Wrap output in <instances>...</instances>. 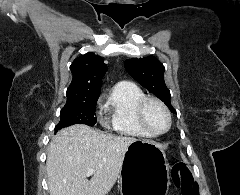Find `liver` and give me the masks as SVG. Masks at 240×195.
Instances as JSON below:
<instances>
[{
    "label": "liver",
    "instance_id": "6515ba94",
    "mask_svg": "<svg viewBox=\"0 0 240 195\" xmlns=\"http://www.w3.org/2000/svg\"><path fill=\"white\" fill-rule=\"evenodd\" d=\"M133 141L136 137L107 135L84 123L59 129L47 153L50 195H106L119 177ZM90 167L94 173L87 179Z\"/></svg>",
    "mask_w": 240,
    "mask_h": 195
}]
</instances>
